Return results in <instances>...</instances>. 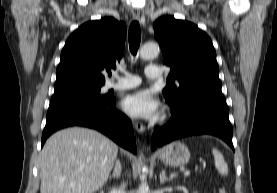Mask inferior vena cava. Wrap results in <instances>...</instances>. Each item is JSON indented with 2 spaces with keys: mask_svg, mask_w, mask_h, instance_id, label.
I'll use <instances>...</instances> for the list:
<instances>
[{
  "mask_svg": "<svg viewBox=\"0 0 277 193\" xmlns=\"http://www.w3.org/2000/svg\"><path fill=\"white\" fill-rule=\"evenodd\" d=\"M125 184H122L121 189L118 191V193H124Z\"/></svg>",
  "mask_w": 277,
  "mask_h": 193,
  "instance_id": "obj_1",
  "label": "inferior vena cava"
}]
</instances>
